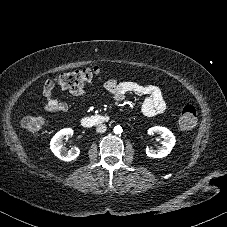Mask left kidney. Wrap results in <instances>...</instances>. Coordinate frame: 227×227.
Segmentation results:
<instances>
[{"instance_id": "5707ae66", "label": "left kidney", "mask_w": 227, "mask_h": 227, "mask_svg": "<svg viewBox=\"0 0 227 227\" xmlns=\"http://www.w3.org/2000/svg\"><path fill=\"white\" fill-rule=\"evenodd\" d=\"M154 133L160 134L162 136V146L159 147L157 150L147 147L146 154L147 156L152 158H163L167 156L174 147L176 142L175 136L169 129L160 126L151 127L148 130V134L151 135Z\"/></svg>"}]
</instances>
